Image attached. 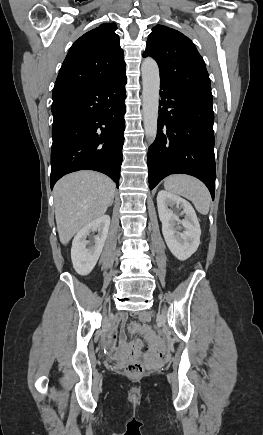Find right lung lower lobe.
<instances>
[{"label": "right lung lower lobe", "mask_w": 263, "mask_h": 435, "mask_svg": "<svg viewBox=\"0 0 263 435\" xmlns=\"http://www.w3.org/2000/svg\"><path fill=\"white\" fill-rule=\"evenodd\" d=\"M125 72L101 83L53 96L51 189L64 175L95 170L118 187L124 143Z\"/></svg>", "instance_id": "1"}]
</instances>
